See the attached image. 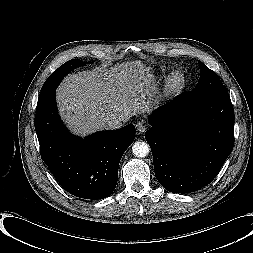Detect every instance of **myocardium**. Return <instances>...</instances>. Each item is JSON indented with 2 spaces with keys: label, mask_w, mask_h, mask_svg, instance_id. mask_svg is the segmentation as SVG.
<instances>
[{
  "label": "myocardium",
  "mask_w": 253,
  "mask_h": 253,
  "mask_svg": "<svg viewBox=\"0 0 253 253\" xmlns=\"http://www.w3.org/2000/svg\"><path fill=\"white\" fill-rule=\"evenodd\" d=\"M184 83L183 75L179 71L173 72L165 83V90L167 92H173L182 87Z\"/></svg>",
  "instance_id": "f54148a6"
}]
</instances>
